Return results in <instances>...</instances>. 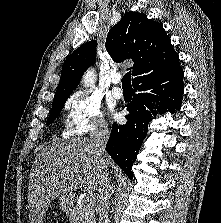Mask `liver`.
Listing matches in <instances>:
<instances>
[{"label":"liver","instance_id":"6515ba94","mask_svg":"<svg viewBox=\"0 0 221 223\" xmlns=\"http://www.w3.org/2000/svg\"><path fill=\"white\" fill-rule=\"evenodd\" d=\"M111 159L108 157V165ZM99 160L92 139L58 140L36 156L30 173L28 207L30 223H42L49 204L79 187H99Z\"/></svg>","mask_w":221,"mask_h":223}]
</instances>
